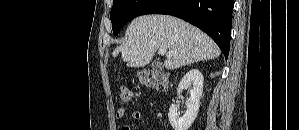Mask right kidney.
<instances>
[{"instance_id":"1","label":"right kidney","mask_w":299,"mask_h":130,"mask_svg":"<svg viewBox=\"0 0 299 130\" xmlns=\"http://www.w3.org/2000/svg\"><path fill=\"white\" fill-rule=\"evenodd\" d=\"M203 75L198 69L188 71L178 84L177 93L180 94L187 86H192L190 97L186 101L187 110L183 116L179 115V106L172 104L169 108V121L174 130H188L197 117L200 99L203 93Z\"/></svg>"}]
</instances>
